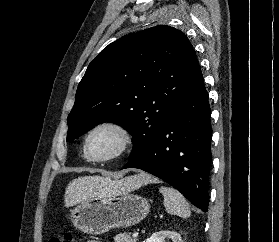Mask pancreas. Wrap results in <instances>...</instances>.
Segmentation results:
<instances>
[{"instance_id":"pancreas-1","label":"pancreas","mask_w":279,"mask_h":242,"mask_svg":"<svg viewBox=\"0 0 279 242\" xmlns=\"http://www.w3.org/2000/svg\"><path fill=\"white\" fill-rule=\"evenodd\" d=\"M115 242H137V239H132L130 234L123 233L114 237Z\"/></svg>"}]
</instances>
